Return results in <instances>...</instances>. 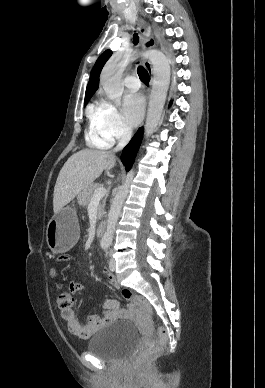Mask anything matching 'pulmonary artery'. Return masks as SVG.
I'll list each match as a JSON object with an SVG mask.
<instances>
[{
  "instance_id": "obj_1",
  "label": "pulmonary artery",
  "mask_w": 265,
  "mask_h": 388,
  "mask_svg": "<svg viewBox=\"0 0 265 388\" xmlns=\"http://www.w3.org/2000/svg\"><path fill=\"white\" fill-rule=\"evenodd\" d=\"M124 83L125 86H128V94H137L140 81L136 78V75H127Z\"/></svg>"
}]
</instances>
